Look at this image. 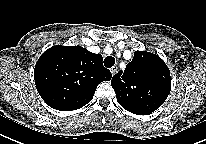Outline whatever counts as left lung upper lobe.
Here are the masks:
<instances>
[{
  "instance_id": "5c2ea615",
  "label": "left lung upper lobe",
  "mask_w": 206,
  "mask_h": 144,
  "mask_svg": "<svg viewBox=\"0 0 206 144\" xmlns=\"http://www.w3.org/2000/svg\"><path fill=\"white\" fill-rule=\"evenodd\" d=\"M111 85L118 103L124 109L138 115H149L169 95L170 71L158 55L135 51L125 71H119L113 76Z\"/></svg>"
}]
</instances>
